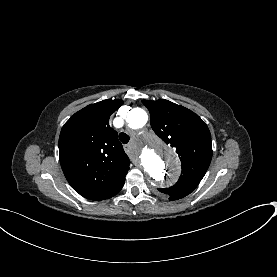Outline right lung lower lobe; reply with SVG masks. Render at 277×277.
I'll use <instances>...</instances> for the list:
<instances>
[{
	"label": "right lung lower lobe",
	"mask_w": 277,
	"mask_h": 277,
	"mask_svg": "<svg viewBox=\"0 0 277 277\" xmlns=\"http://www.w3.org/2000/svg\"><path fill=\"white\" fill-rule=\"evenodd\" d=\"M75 161H74V164H76L77 162H79L78 160V156H73L72 157ZM113 169V167H109L108 170H105V175L104 177H108L110 174H111V170Z\"/></svg>",
	"instance_id": "98d812e1"
}]
</instances>
